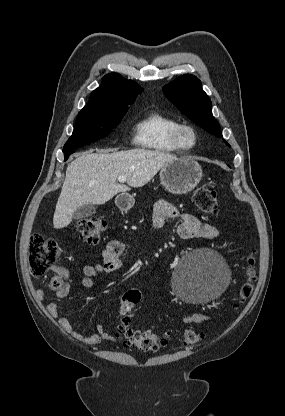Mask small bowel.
<instances>
[{
  "instance_id": "obj_1",
  "label": "small bowel",
  "mask_w": 285,
  "mask_h": 416,
  "mask_svg": "<svg viewBox=\"0 0 285 416\" xmlns=\"http://www.w3.org/2000/svg\"><path fill=\"white\" fill-rule=\"evenodd\" d=\"M180 219L181 223L177 227V234L182 239H215L219 236V230L211 224L202 222L196 216L189 213H180L173 205L166 201L160 200L156 203L152 227H161L166 220ZM124 251V244L119 240H111L102 252V262L87 264L82 268L81 283L86 288L93 287V278L102 274H111L117 271L121 266V255ZM62 276L66 278L67 271L62 269ZM70 292V284L65 280L62 286L56 291V297L63 299L68 296ZM37 296L40 300L44 298L42 290L37 291ZM46 310L49 315L55 319L59 327L66 334L74 339L88 345H97L102 341H115L119 337L117 334L107 331L105 326L101 323L96 325L95 333L90 335H83L75 331L69 322L68 318L60 316L58 306L51 302L47 304ZM208 319V316L203 313H193L186 315L183 322L186 324H201Z\"/></svg>"
}]
</instances>
